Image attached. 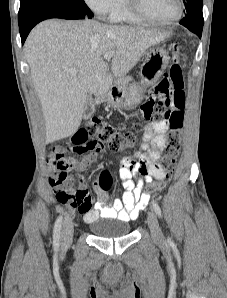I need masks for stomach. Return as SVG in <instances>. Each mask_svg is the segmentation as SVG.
<instances>
[{"mask_svg": "<svg viewBox=\"0 0 227 298\" xmlns=\"http://www.w3.org/2000/svg\"><path fill=\"white\" fill-rule=\"evenodd\" d=\"M169 64L168 52L160 46H151L140 68L141 82L131 84L126 90L110 92L106 96L108 105L124 110L136 108L144 99L146 88L157 82Z\"/></svg>", "mask_w": 227, "mask_h": 298, "instance_id": "1", "label": "stomach"}]
</instances>
